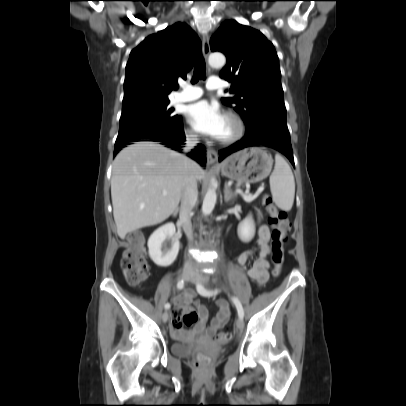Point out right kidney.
<instances>
[{
	"instance_id": "ca27d5eb",
	"label": "right kidney",
	"mask_w": 406,
	"mask_h": 406,
	"mask_svg": "<svg viewBox=\"0 0 406 406\" xmlns=\"http://www.w3.org/2000/svg\"><path fill=\"white\" fill-rule=\"evenodd\" d=\"M166 240L170 241V245L165 243ZM179 247L173 223H167L155 230L148 240L150 258L161 267H167L175 261Z\"/></svg>"
}]
</instances>
